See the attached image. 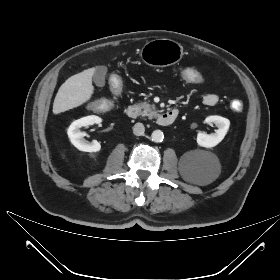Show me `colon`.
I'll return each instance as SVG.
<instances>
[{"label": "colon", "instance_id": "5ec220e1", "mask_svg": "<svg viewBox=\"0 0 280 280\" xmlns=\"http://www.w3.org/2000/svg\"><path fill=\"white\" fill-rule=\"evenodd\" d=\"M174 73L177 78L189 85H201L205 81V76L201 70L196 68H190L183 64L177 65L175 67ZM105 81L108 85H110V89L115 95H117L120 92L121 80L115 74H108L105 78ZM110 104V100H99L94 103L93 108L97 112H105L109 109ZM231 109L235 112L242 111V102L238 100L232 101Z\"/></svg>", "mask_w": 280, "mask_h": 280}]
</instances>
